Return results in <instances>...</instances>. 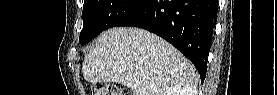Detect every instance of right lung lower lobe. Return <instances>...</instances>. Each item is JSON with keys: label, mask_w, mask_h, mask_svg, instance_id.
I'll use <instances>...</instances> for the list:
<instances>
[{"label": "right lung lower lobe", "mask_w": 277, "mask_h": 95, "mask_svg": "<svg viewBox=\"0 0 277 95\" xmlns=\"http://www.w3.org/2000/svg\"><path fill=\"white\" fill-rule=\"evenodd\" d=\"M217 10V0H143L116 26H135L164 38L195 65L203 82Z\"/></svg>", "instance_id": "1"}]
</instances>
